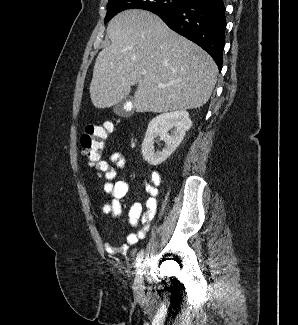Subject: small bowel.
<instances>
[{
    "mask_svg": "<svg viewBox=\"0 0 298 325\" xmlns=\"http://www.w3.org/2000/svg\"><path fill=\"white\" fill-rule=\"evenodd\" d=\"M95 167L97 177L105 180L104 193L110 197V201L102 206V212L109 220L114 221L122 211L121 200L129 190V183L126 179L114 181L116 169H124L126 167V159L121 153L114 152L109 156L108 160L100 159ZM161 180L160 173L153 171L150 180L145 181L147 198L144 207L140 202H135L131 205L128 214L130 227L135 228L140 225V229L129 233L124 245L106 242L104 247L109 254H124L129 246L137 244L139 240L145 237L156 213V197Z\"/></svg>",
    "mask_w": 298,
    "mask_h": 325,
    "instance_id": "small-bowel-1",
    "label": "small bowel"
}]
</instances>
